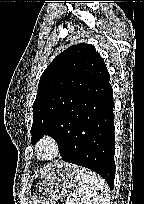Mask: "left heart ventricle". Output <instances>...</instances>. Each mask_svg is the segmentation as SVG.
I'll return each instance as SVG.
<instances>
[{
  "label": "left heart ventricle",
  "mask_w": 144,
  "mask_h": 204,
  "mask_svg": "<svg viewBox=\"0 0 144 204\" xmlns=\"http://www.w3.org/2000/svg\"><path fill=\"white\" fill-rule=\"evenodd\" d=\"M41 156H48L50 154V149L49 147H43L40 151Z\"/></svg>",
  "instance_id": "b2bd125f"
}]
</instances>
